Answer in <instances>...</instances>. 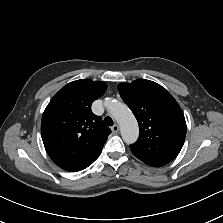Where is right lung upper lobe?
<instances>
[{
  "label": "right lung upper lobe",
  "mask_w": 223,
  "mask_h": 223,
  "mask_svg": "<svg viewBox=\"0 0 223 223\" xmlns=\"http://www.w3.org/2000/svg\"><path fill=\"white\" fill-rule=\"evenodd\" d=\"M107 89L104 82L81 79L60 89L47 105L41 121V136L52 161L76 172L99 156L111 130L91 111L93 101Z\"/></svg>",
  "instance_id": "obj_1"
}]
</instances>
